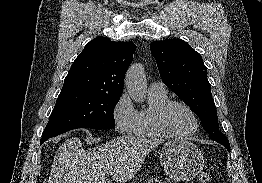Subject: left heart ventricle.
<instances>
[{"label": "left heart ventricle", "mask_w": 262, "mask_h": 183, "mask_svg": "<svg viewBox=\"0 0 262 183\" xmlns=\"http://www.w3.org/2000/svg\"><path fill=\"white\" fill-rule=\"evenodd\" d=\"M166 125L169 130L176 134H185L193 130L195 121L186 108L176 105L168 112Z\"/></svg>", "instance_id": "obj_1"}]
</instances>
